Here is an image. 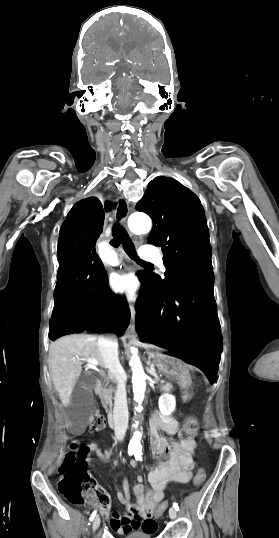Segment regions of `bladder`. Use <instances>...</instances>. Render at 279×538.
Masks as SVG:
<instances>
[{
  "instance_id": "31cf9c89",
  "label": "bladder",
  "mask_w": 279,
  "mask_h": 538,
  "mask_svg": "<svg viewBox=\"0 0 279 538\" xmlns=\"http://www.w3.org/2000/svg\"><path fill=\"white\" fill-rule=\"evenodd\" d=\"M127 538H153L151 532H129Z\"/></svg>"
}]
</instances>
